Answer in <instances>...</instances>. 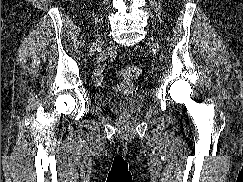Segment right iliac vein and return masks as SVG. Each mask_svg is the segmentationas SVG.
I'll return each instance as SVG.
<instances>
[{
  "label": "right iliac vein",
  "mask_w": 243,
  "mask_h": 182,
  "mask_svg": "<svg viewBox=\"0 0 243 182\" xmlns=\"http://www.w3.org/2000/svg\"><path fill=\"white\" fill-rule=\"evenodd\" d=\"M100 43V39H97L90 47L89 52H88V56H92L94 54V52L96 51V49L98 48Z\"/></svg>",
  "instance_id": "63e3f726"
}]
</instances>
